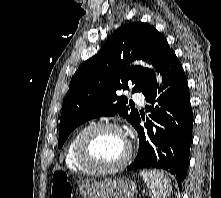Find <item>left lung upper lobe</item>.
<instances>
[{"label": "left lung upper lobe", "mask_w": 221, "mask_h": 198, "mask_svg": "<svg viewBox=\"0 0 221 198\" xmlns=\"http://www.w3.org/2000/svg\"><path fill=\"white\" fill-rule=\"evenodd\" d=\"M173 52L166 38L147 23L134 22L117 29L72 77L61 113L58 147L78 125L92 118L119 113L134 126L139 113L129 112L127 98L117 96V91L132 83L133 93L143 92L155 75L148 68L126 65L144 59L161 73Z\"/></svg>", "instance_id": "5c2ea615"}]
</instances>
